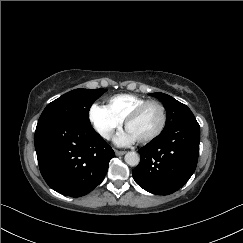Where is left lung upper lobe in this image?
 <instances>
[{
    "instance_id": "5c2ea615",
    "label": "left lung upper lobe",
    "mask_w": 243,
    "mask_h": 243,
    "mask_svg": "<svg viewBox=\"0 0 243 243\" xmlns=\"http://www.w3.org/2000/svg\"><path fill=\"white\" fill-rule=\"evenodd\" d=\"M150 95L160 99L163 102L165 110L167 112V121L163 131L178 124L180 121L184 120L189 116H194L191 110L186 105L167 94L152 93Z\"/></svg>"
}]
</instances>
